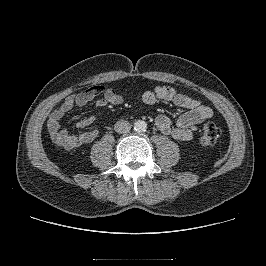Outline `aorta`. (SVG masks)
<instances>
[{
    "instance_id": "obj_1",
    "label": "aorta",
    "mask_w": 266,
    "mask_h": 266,
    "mask_svg": "<svg viewBox=\"0 0 266 266\" xmlns=\"http://www.w3.org/2000/svg\"><path fill=\"white\" fill-rule=\"evenodd\" d=\"M147 129V123L143 120H138L134 123V130L136 132H144Z\"/></svg>"
}]
</instances>
